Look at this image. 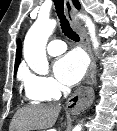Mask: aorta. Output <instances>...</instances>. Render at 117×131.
<instances>
[{
	"mask_svg": "<svg viewBox=\"0 0 117 131\" xmlns=\"http://www.w3.org/2000/svg\"><path fill=\"white\" fill-rule=\"evenodd\" d=\"M85 21L94 49L99 47L96 37L95 25L87 15H79ZM56 27L54 19L39 17L31 26L24 40L23 54L28 66L37 74L46 75L49 63L46 56V44L49 36ZM81 125L74 127L73 131H81Z\"/></svg>",
	"mask_w": 117,
	"mask_h": 131,
	"instance_id": "aorta-1",
	"label": "aorta"
}]
</instances>
